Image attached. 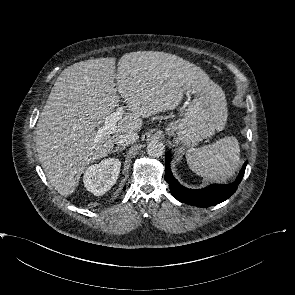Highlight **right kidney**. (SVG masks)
I'll use <instances>...</instances> for the list:
<instances>
[{
  "label": "right kidney",
  "mask_w": 295,
  "mask_h": 295,
  "mask_svg": "<svg viewBox=\"0 0 295 295\" xmlns=\"http://www.w3.org/2000/svg\"><path fill=\"white\" fill-rule=\"evenodd\" d=\"M120 166L121 162L116 158L104 159L89 166L83 177L84 186L95 196L105 194L116 183Z\"/></svg>",
  "instance_id": "right-kidney-1"
}]
</instances>
